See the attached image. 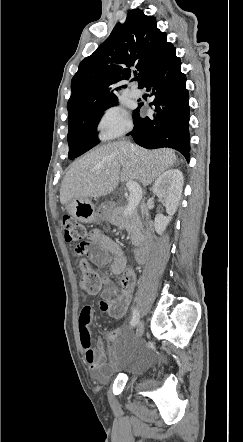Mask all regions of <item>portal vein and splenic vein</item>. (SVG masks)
I'll list each match as a JSON object with an SVG mask.
<instances>
[{
    "label": "portal vein and splenic vein",
    "mask_w": 243,
    "mask_h": 442,
    "mask_svg": "<svg viewBox=\"0 0 243 442\" xmlns=\"http://www.w3.org/2000/svg\"><path fill=\"white\" fill-rule=\"evenodd\" d=\"M128 190L130 191L129 204L124 214L131 213L137 206L140 200L141 188L135 181H128L126 184Z\"/></svg>",
    "instance_id": "1"
}]
</instances>
